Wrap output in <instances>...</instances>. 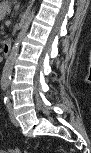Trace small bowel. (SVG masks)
Listing matches in <instances>:
<instances>
[{"mask_svg": "<svg viewBox=\"0 0 91 153\" xmlns=\"http://www.w3.org/2000/svg\"><path fill=\"white\" fill-rule=\"evenodd\" d=\"M7 152H10V153H17L18 150H17V149H8Z\"/></svg>", "mask_w": 91, "mask_h": 153, "instance_id": "obj_1", "label": "small bowel"}]
</instances>
